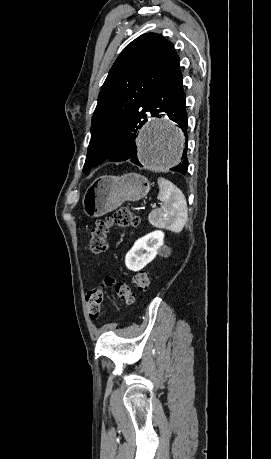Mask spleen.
<instances>
[{
	"instance_id": "spleen-1",
	"label": "spleen",
	"mask_w": 271,
	"mask_h": 459,
	"mask_svg": "<svg viewBox=\"0 0 271 459\" xmlns=\"http://www.w3.org/2000/svg\"><path fill=\"white\" fill-rule=\"evenodd\" d=\"M157 184L159 186L157 198L163 202V206L159 210H153L150 222L155 228L170 229L179 233L188 220L185 196L179 188L165 178H158Z\"/></svg>"
}]
</instances>
